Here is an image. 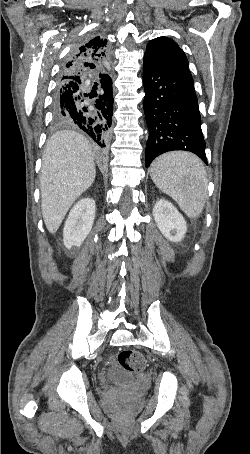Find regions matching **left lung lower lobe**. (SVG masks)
<instances>
[{
  "instance_id": "left-lung-lower-lobe-1",
  "label": "left lung lower lobe",
  "mask_w": 250,
  "mask_h": 454,
  "mask_svg": "<svg viewBox=\"0 0 250 454\" xmlns=\"http://www.w3.org/2000/svg\"><path fill=\"white\" fill-rule=\"evenodd\" d=\"M143 85V106L149 129L146 167L157 156L173 150L193 152L208 164L189 69L164 65L144 55Z\"/></svg>"
}]
</instances>
